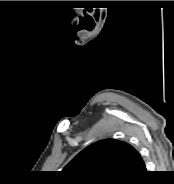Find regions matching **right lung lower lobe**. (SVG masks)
<instances>
[{
	"mask_svg": "<svg viewBox=\"0 0 174 184\" xmlns=\"http://www.w3.org/2000/svg\"><path fill=\"white\" fill-rule=\"evenodd\" d=\"M146 174V170L138 177L134 178V179H131L129 181H125L121 184H138V183H141V178Z\"/></svg>",
	"mask_w": 174,
	"mask_h": 184,
	"instance_id": "98d812e1",
	"label": "right lung lower lobe"
}]
</instances>
